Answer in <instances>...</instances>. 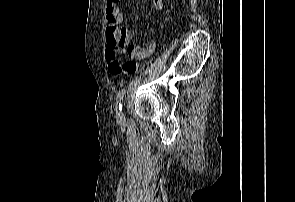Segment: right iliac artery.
Here are the masks:
<instances>
[{
	"instance_id": "right-iliac-artery-1",
	"label": "right iliac artery",
	"mask_w": 295,
	"mask_h": 202,
	"mask_svg": "<svg viewBox=\"0 0 295 202\" xmlns=\"http://www.w3.org/2000/svg\"><path fill=\"white\" fill-rule=\"evenodd\" d=\"M125 89H122L117 96V102H116V114L118 118L122 117V101L125 95Z\"/></svg>"
}]
</instances>
